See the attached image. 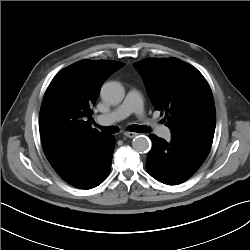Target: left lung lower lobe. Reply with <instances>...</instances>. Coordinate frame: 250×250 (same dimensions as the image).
Here are the masks:
<instances>
[{
	"mask_svg": "<svg viewBox=\"0 0 250 250\" xmlns=\"http://www.w3.org/2000/svg\"><path fill=\"white\" fill-rule=\"evenodd\" d=\"M153 146L146 159L147 172L159 182L176 185L192 176L203 164L212 137L172 134L171 141L150 134Z\"/></svg>",
	"mask_w": 250,
	"mask_h": 250,
	"instance_id": "obj_1",
	"label": "left lung lower lobe"
}]
</instances>
